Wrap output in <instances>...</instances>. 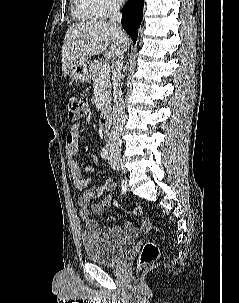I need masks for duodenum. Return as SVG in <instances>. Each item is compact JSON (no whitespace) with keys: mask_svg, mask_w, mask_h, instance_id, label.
<instances>
[{"mask_svg":"<svg viewBox=\"0 0 239 303\" xmlns=\"http://www.w3.org/2000/svg\"><path fill=\"white\" fill-rule=\"evenodd\" d=\"M98 125L101 131L107 132L110 127V114L109 111L103 112L98 120Z\"/></svg>","mask_w":239,"mask_h":303,"instance_id":"1","label":"duodenum"}]
</instances>
